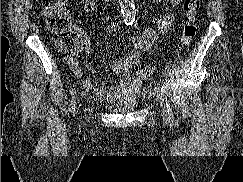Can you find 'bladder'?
Segmentation results:
<instances>
[{
  "mask_svg": "<svg viewBox=\"0 0 243 182\" xmlns=\"http://www.w3.org/2000/svg\"><path fill=\"white\" fill-rule=\"evenodd\" d=\"M139 106V102L135 97H126L115 103L107 104L106 110L115 114H126L134 112Z\"/></svg>",
  "mask_w": 243,
  "mask_h": 182,
  "instance_id": "31cf9c89",
  "label": "bladder"
}]
</instances>
